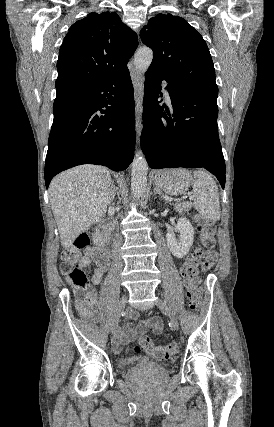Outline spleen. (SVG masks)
<instances>
[{"label": "spleen", "instance_id": "3e777b00", "mask_svg": "<svg viewBox=\"0 0 274 427\" xmlns=\"http://www.w3.org/2000/svg\"><path fill=\"white\" fill-rule=\"evenodd\" d=\"M193 184V206L206 219H220L219 192L216 182L208 172L196 170Z\"/></svg>", "mask_w": 274, "mask_h": 427}]
</instances>
